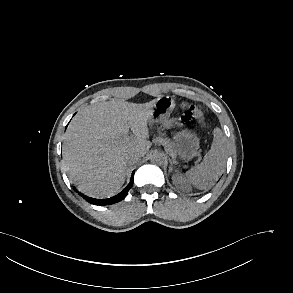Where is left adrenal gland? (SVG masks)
<instances>
[{
  "instance_id": "a2214340",
  "label": "left adrenal gland",
  "mask_w": 293,
  "mask_h": 293,
  "mask_svg": "<svg viewBox=\"0 0 293 293\" xmlns=\"http://www.w3.org/2000/svg\"><path fill=\"white\" fill-rule=\"evenodd\" d=\"M169 161H170V166H169V173H170L173 170V161L171 159H169Z\"/></svg>"
}]
</instances>
